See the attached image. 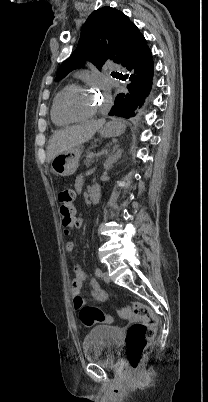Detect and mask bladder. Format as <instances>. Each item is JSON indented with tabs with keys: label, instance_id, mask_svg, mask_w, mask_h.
<instances>
[{
	"label": "bladder",
	"instance_id": "bladder-1",
	"mask_svg": "<svg viewBox=\"0 0 208 402\" xmlns=\"http://www.w3.org/2000/svg\"><path fill=\"white\" fill-rule=\"evenodd\" d=\"M119 347L120 337L116 328L94 326L83 344L84 358L102 365L112 364Z\"/></svg>",
	"mask_w": 208,
	"mask_h": 402
}]
</instances>
